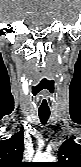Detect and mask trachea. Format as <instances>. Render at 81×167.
<instances>
[{
	"label": "trachea",
	"instance_id": "3493384b",
	"mask_svg": "<svg viewBox=\"0 0 81 167\" xmlns=\"http://www.w3.org/2000/svg\"><path fill=\"white\" fill-rule=\"evenodd\" d=\"M38 114H39V118H40L41 123L43 125H45L48 121L49 116H50V112L49 111H39Z\"/></svg>",
	"mask_w": 81,
	"mask_h": 167
}]
</instances>
